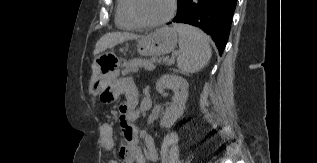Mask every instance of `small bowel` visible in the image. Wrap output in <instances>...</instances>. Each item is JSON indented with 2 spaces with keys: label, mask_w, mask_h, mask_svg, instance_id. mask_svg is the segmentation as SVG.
Returning <instances> with one entry per match:
<instances>
[{
  "label": "small bowel",
  "mask_w": 317,
  "mask_h": 163,
  "mask_svg": "<svg viewBox=\"0 0 317 163\" xmlns=\"http://www.w3.org/2000/svg\"><path fill=\"white\" fill-rule=\"evenodd\" d=\"M114 95L123 97L120 105V125L123 132L124 145L119 149V156L123 163H147L158 160V151L153 138L145 133L139 132L135 122L140 114L146 109L140 103L139 90L130 79L121 80ZM143 141V146L141 145ZM101 147L106 151L114 148L113 129L108 123L104 124L101 133ZM108 163H119L117 160H109Z\"/></svg>",
  "instance_id": "1"
}]
</instances>
